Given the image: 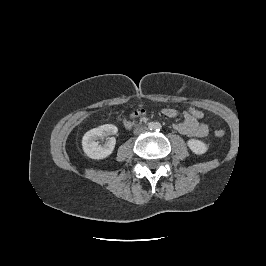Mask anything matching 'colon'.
I'll list each match as a JSON object with an SVG mask.
<instances>
[{
  "label": "colon",
  "instance_id": "5ec220e1",
  "mask_svg": "<svg viewBox=\"0 0 266 266\" xmlns=\"http://www.w3.org/2000/svg\"><path fill=\"white\" fill-rule=\"evenodd\" d=\"M187 112L196 120H201L204 118V112L197 107L188 108ZM225 134L224 130H216L215 135L217 137H223Z\"/></svg>",
  "mask_w": 266,
  "mask_h": 266
}]
</instances>
